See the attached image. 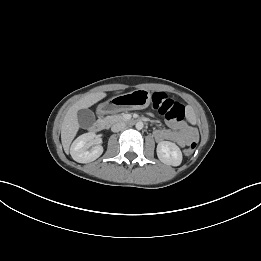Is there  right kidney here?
<instances>
[{
  "mask_svg": "<svg viewBox=\"0 0 261 261\" xmlns=\"http://www.w3.org/2000/svg\"><path fill=\"white\" fill-rule=\"evenodd\" d=\"M97 135L93 132L79 136L70 147V154L76 162L89 163L96 160L103 153V147L96 145L88 150L96 139Z\"/></svg>",
  "mask_w": 261,
  "mask_h": 261,
  "instance_id": "right-kidney-1",
  "label": "right kidney"
}]
</instances>
